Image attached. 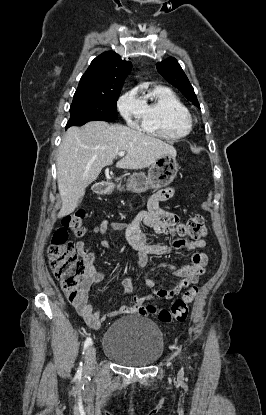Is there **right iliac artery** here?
Instances as JSON below:
<instances>
[{"label":"right iliac artery","mask_w":266,"mask_h":415,"mask_svg":"<svg viewBox=\"0 0 266 415\" xmlns=\"http://www.w3.org/2000/svg\"><path fill=\"white\" fill-rule=\"evenodd\" d=\"M92 343V339L89 337L85 340L84 342V349H83V353L85 352V350L88 348V346ZM82 373V363H80V366L77 370V375L81 376Z\"/></svg>","instance_id":"obj_1"}]
</instances>
